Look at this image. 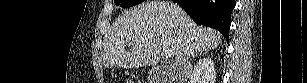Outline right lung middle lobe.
Returning <instances> with one entry per match:
<instances>
[{"label":"right lung middle lobe","instance_id":"1","mask_svg":"<svg viewBox=\"0 0 307 83\" xmlns=\"http://www.w3.org/2000/svg\"><path fill=\"white\" fill-rule=\"evenodd\" d=\"M144 0H115V4L123 8H128L134 6L138 3L143 2Z\"/></svg>","mask_w":307,"mask_h":83}]
</instances>
